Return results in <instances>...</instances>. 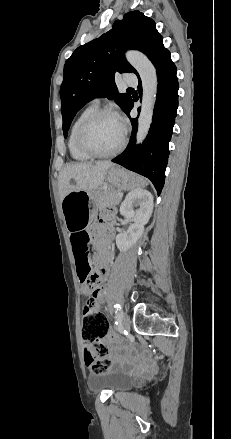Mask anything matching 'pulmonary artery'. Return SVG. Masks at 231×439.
I'll return each instance as SVG.
<instances>
[{
	"label": "pulmonary artery",
	"instance_id": "e3ab8cb5",
	"mask_svg": "<svg viewBox=\"0 0 231 439\" xmlns=\"http://www.w3.org/2000/svg\"><path fill=\"white\" fill-rule=\"evenodd\" d=\"M124 83L128 86H136L138 84V80L136 78L135 75L131 74V73H126L124 75ZM94 104H98L99 103V99H95L93 101Z\"/></svg>",
	"mask_w": 231,
	"mask_h": 439
}]
</instances>
